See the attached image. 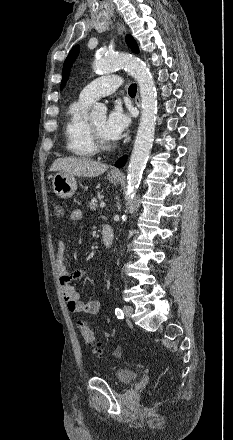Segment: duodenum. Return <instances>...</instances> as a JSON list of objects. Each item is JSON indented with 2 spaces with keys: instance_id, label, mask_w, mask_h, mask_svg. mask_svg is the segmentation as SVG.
<instances>
[{
  "instance_id": "410a0bca",
  "label": "duodenum",
  "mask_w": 233,
  "mask_h": 440,
  "mask_svg": "<svg viewBox=\"0 0 233 440\" xmlns=\"http://www.w3.org/2000/svg\"><path fill=\"white\" fill-rule=\"evenodd\" d=\"M101 237L105 247H110L113 242L114 233L110 224L105 223L101 228Z\"/></svg>"
}]
</instances>
